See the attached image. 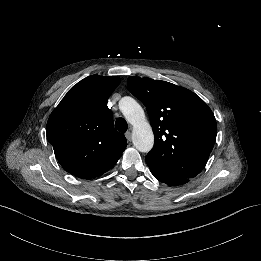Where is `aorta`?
Listing matches in <instances>:
<instances>
[{"mask_svg":"<svg viewBox=\"0 0 261 261\" xmlns=\"http://www.w3.org/2000/svg\"><path fill=\"white\" fill-rule=\"evenodd\" d=\"M119 108L126 120L134 125L133 145L139 152L149 153L154 146V135L149 123L145 121L140 104L134 98L125 96L120 100Z\"/></svg>","mask_w":261,"mask_h":261,"instance_id":"obj_1","label":"aorta"}]
</instances>
